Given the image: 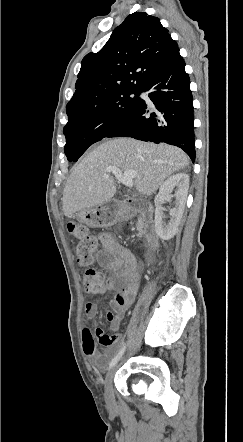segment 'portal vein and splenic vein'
<instances>
[{
    "instance_id": "portal-vein-and-splenic-vein-1",
    "label": "portal vein and splenic vein",
    "mask_w": 243,
    "mask_h": 442,
    "mask_svg": "<svg viewBox=\"0 0 243 442\" xmlns=\"http://www.w3.org/2000/svg\"><path fill=\"white\" fill-rule=\"evenodd\" d=\"M108 173H113L116 179L127 187L133 186V179L136 177L137 174L134 170H127L122 173L119 168L114 166L107 167L104 176L107 177Z\"/></svg>"
}]
</instances>
